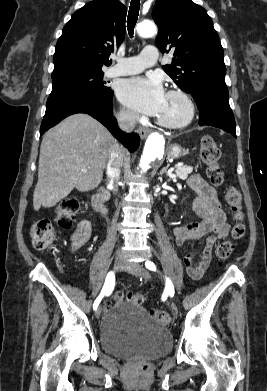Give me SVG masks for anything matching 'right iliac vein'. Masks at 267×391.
I'll return each instance as SVG.
<instances>
[{
    "label": "right iliac vein",
    "instance_id": "1",
    "mask_svg": "<svg viewBox=\"0 0 267 391\" xmlns=\"http://www.w3.org/2000/svg\"><path fill=\"white\" fill-rule=\"evenodd\" d=\"M125 264H126V262H125L124 257L121 256V255H118V256L116 257V259H115V262H114V267H113L114 272H115V273H118V272H120L121 270H123L124 267H125ZM101 312H102V308H101V306H99V307L96 309V312H95V315H96L97 318L100 317Z\"/></svg>",
    "mask_w": 267,
    "mask_h": 391
}]
</instances>
